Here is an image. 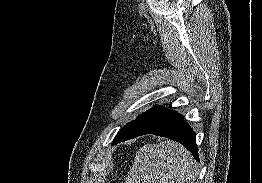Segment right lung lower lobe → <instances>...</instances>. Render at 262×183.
Wrapping results in <instances>:
<instances>
[{"mask_svg":"<svg viewBox=\"0 0 262 183\" xmlns=\"http://www.w3.org/2000/svg\"><path fill=\"white\" fill-rule=\"evenodd\" d=\"M144 134H154L180 142L199 160L195 132L176 111L154 106L131 122L112 144Z\"/></svg>","mask_w":262,"mask_h":183,"instance_id":"right-lung-lower-lobe-1","label":"right lung lower lobe"}]
</instances>
